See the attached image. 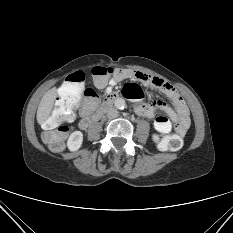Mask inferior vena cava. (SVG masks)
<instances>
[{"label": "inferior vena cava", "mask_w": 233, "mask_h": 233, "mask_svg": "<svg viewBox=\"0 0 233 233\" xmlns=\"http://www.w3.org/2000/svg\"><path fill=\"white\" fill-rule=\"evenodd\" d=\"M107 117L110 119L118 117V111L116 108H110L107 112Z\"/></svg>", "instance_id": "inferior-vena-cava-1"}]
</instances>
